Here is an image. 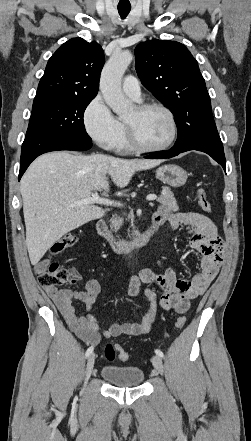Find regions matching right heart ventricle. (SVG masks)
Returning a JSON list of instances; mask_svg holds the SVG:
<instances>
[{"label":"right heart ventricle","instance_id":"e07e8e85","mask_svg":"<svg viewBox=\"0 0 251 441\" xmlns=\"http://www.w3.org/2000/svg\"><path fill=\"white\" fill-rule=\"evenodd\" d=\"M122 126H123L122 134L113 148L117 151H122V152L131 151L133 150V147L130 145L127 139L125 126L123 124Z\"/></svg>","mask_w":251,"mask_h":441}]
</instances>
